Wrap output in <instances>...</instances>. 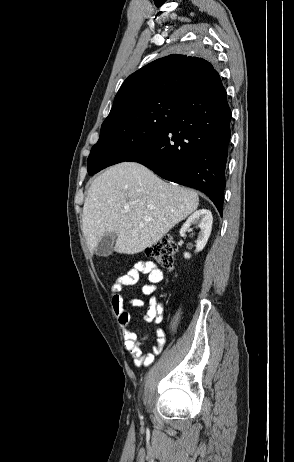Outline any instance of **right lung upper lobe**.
Instances as JSON below:
<instances>
[{
  "instance_id": "1",
  "label": "right lung upper lobe",
  "mask_w": 294,
  "mask_h": 462,
  "mask_svg": "<svg viewBox=\"0 0 294 462\" xmlns=\"http://www.w3.org/2000/svg\"><path fill=\"white\" fill-rule=\"evenodd\" d=\"M220 79L208 58L169 55L131 74L122 84L110 113L161 95H188L203 90Z\"/></svg>"
}]
</instances>
